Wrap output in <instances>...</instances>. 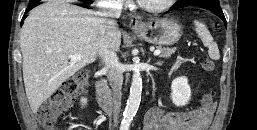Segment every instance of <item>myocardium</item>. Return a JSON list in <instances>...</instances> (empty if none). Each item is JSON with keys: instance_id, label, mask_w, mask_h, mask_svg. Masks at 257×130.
<instances>
[{"instance_id": "myocardium-1", "label": "myocardium", "mask_w": 257, "mask_h": 130, "mask_svg": "<svg viewBox=\"0 0 257 130\" xmlns=\"http://www.w3.org/2000/svg\"><path fill=\"white\" fill-rule=\"evenodd\" d=\"M175 2H176V0H164L162 3L157 4V5H148V4H145L141 1H139V6H140V8H142L143 10H145L147 12L157 13V12H162V11L167 10Z\"/></svg>"}]
</instances>
